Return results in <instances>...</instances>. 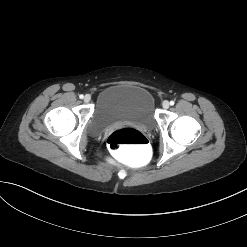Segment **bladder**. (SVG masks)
I'll use <instances>...</instances> for the list:
<instances>
[{"label":"bladder","instance_id":"obj_1","mask_svg":"<svg viewBox=\"0 0 247 247\" xmlns=\"http://www.w3.org/2000/svg\"><path fill=\"white\" fill-rule=\"evenodd\" d=\"M117 123L143 128L154 127V100L148 90L137 85L119 84L104 88L98 95L89 120L92 134H99Z\"/></svg>","mask_w":247,"mask_h":247}]
</instances>
